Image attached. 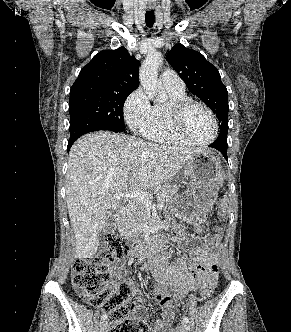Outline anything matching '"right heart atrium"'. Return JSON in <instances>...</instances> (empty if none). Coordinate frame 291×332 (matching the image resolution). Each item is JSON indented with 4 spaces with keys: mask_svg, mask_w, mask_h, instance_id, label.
<instances>
[{
    "mask_svg": "<svg viewBox=\"0 0 291 332\" xmlns=\"http://www.w3.org/2000/svg\"><path fill=\"white\" fill-rule=\"evenodd\" d=\"M151 108L148 97L141 88L133 91L124 104V117L132 130L141 131L150 124Z\"/></svg>",
    "mask_w": 291,
    "mask_h": 332,
    "instance_id": "1",
    "label": "right heart atrium"
}]
</instances>
